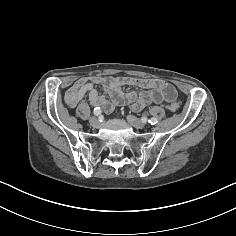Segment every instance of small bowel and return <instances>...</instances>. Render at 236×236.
<instances>
[{
  "instance_id": "small-bowel-1",
  "label": "small bowel",
  "mask_w": 236,
  "mask_h": 236,
  "mask_svg": "<svg viewBox=\"0 0 236 236\" xmlns=\"http://www.w3.org/2000/svg\"><path fill=\"white\" fill-rule=\"evenodd\" d=\"M95 84L102 85L110 98L99 93ZM125 86L137 87L141 91L124 92L122 89ZM86 95L93 107H98L105 113L112 112L116 105L122 103H131L132 108L139 111L149 104L174 102L177 98L175 87L163 80L132 76H94L77 80L66 91L65 100L70 107H75Z\"/></svg>"
}]
</instances>
